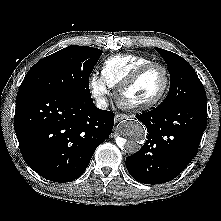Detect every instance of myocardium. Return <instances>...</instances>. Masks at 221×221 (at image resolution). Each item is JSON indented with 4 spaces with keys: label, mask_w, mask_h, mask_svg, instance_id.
I'll return each mask as SVG.
<instances>
[{
    "label": "myocardium",
    "mask_w": 221,
    "mask_h": 221,
    "mask_svg": "<svg viewBox=\"0 0 221 221\" xmlns=\"http://www.w3.org/2000/svg\"><path fill=\"white\" fill-rule=\"evenodd\" d=\"M159 67L162 69L165 77L164 86L161 91L151 100L142 103H129L124 99L126 91L131 88L148 70ZM171 83L170 73L168 68L158 62H151L145 64L138 69H136L132 74H130L125 80H123L117 87L115 97L118 105L128 111L140 112L149 110L156 105H158L166 96Z\"/></svg>",
    "instance_id": "obj_1"
}]
</instances>
